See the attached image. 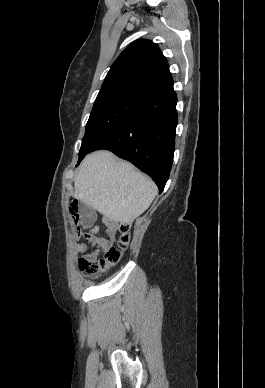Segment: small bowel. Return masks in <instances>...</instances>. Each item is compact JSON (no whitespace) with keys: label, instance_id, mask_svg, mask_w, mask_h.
Instances as JSON below:
<instances>
[{"label":"small bowel","instance_id":"small-bowel-1","mask_svg":"<svg viewBox=\"0 0 265 388\" xmlns=\"http://www.w3.org/2000/svg\"><path fill=\"white\" fill-rule=\"evenodd\" d=\"M96 219V215L94 213H89L84 221V225L90 228V232L85 234L84 238L97 249L92 252L86 253L82 258H86L89 260H97L98 254L100 251H106L111 246V242L104 238L99 237L96 233L99 230L98 226L93 225ZM103 223L106 226V232L110 237H113L116 233V225L110 218H103ZM77 251L86 252L88 250V245L85 243H81L77 245Z\"/></svg>","mask_w":265,"mask_h":388}]
</instances>
